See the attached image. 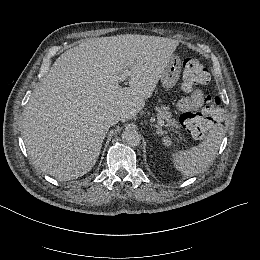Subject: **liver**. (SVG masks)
Returning a JSON list of instances; mask_svg holds the SVG:
<instances>
[{"instance_id": "6515ba94", "label": "liver", "mask_w": 260, "mask_h": 260, "mask_svg": "<svg viewBox=\"0 0 260 260\" xmlns=\"http://www.w3.org/2000/svg\"><path fill=\"white\" fill-rule=\"evenodd\" d=\"M178 42L144 35L91 38L65 51L34 89L22 138L33 165L68 181L91 171L106 117L135 119L152 97ZM122 76L129 87H122Z\"/></svg>"}]
</instances>
